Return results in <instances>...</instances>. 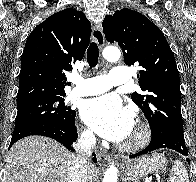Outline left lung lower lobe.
Instances as JSON below:
<instances>
[{"label": "left lung lower lobe", "instance_id": "left-lung-lower-lobe-1", "mask_svg": "<svg viewBox=\"0 0 196 182\" xmlns=\"http://www.w3.org/2000/svg\"><path fill=\"white\" fill-rule=\"evenodd\" d=\"M160 148L171 149L184 156L188 155L184 136L177 134V133L164 131L157 135H152L150 144L144 150L136 154H132L129 157L135 158L137 156L146 154L148 152H151L153 150L160 149ZM187 161L188 163H190L189 159H187Z\"/></svg>", "mask_w": 196, "mask_h": 182}]
</instances>
